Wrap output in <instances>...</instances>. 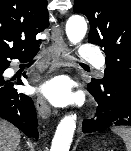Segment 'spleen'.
Instances as JSON below:
<instances>
[{
	"label": "spleen",
	"mask_w": 131,
	"mask_h": 151,
	"mask_svg": "<svg viewBox=\"0 0 131 151\" xmlns=\"http://www.w3.org/2000/svg\"><path fill=\"white\" fill-rule=\"evenodd\" d=\"M112 131L120 136L126 146L127 151H131V128L127 127H113Z\"/></svg>",
	"instance_id": "obj_1"
}]
</instances>
